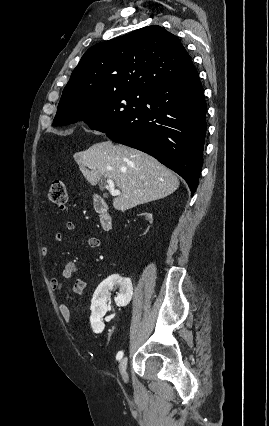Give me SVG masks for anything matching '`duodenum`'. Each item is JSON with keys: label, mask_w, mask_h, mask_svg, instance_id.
Masks as SVG:
<instances>
[{"label": "duodenum", "mask_w": 269, "mask_h": 426, "mask_svg": "<svg viewBox=\"0 0 269 426\" xmlns=\"http://www.w3.org/2000/svg\"><path fill=\"white\" fill-rule=\"evenodd\" d=\"M93 207L99 216L100 223L103 229L107 231L111 230L112 218L104 198L100 195L95 196L93 200Z\"/></svg>", "instance_id": "1"}]
</instances>
